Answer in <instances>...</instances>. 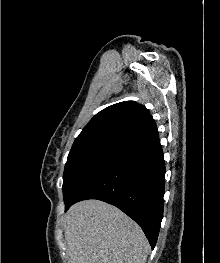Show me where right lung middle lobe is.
<instances>
[{
    "mask_svg": "<svg viewBox=\"0 0 220 263\" xmlns=\"http://www.w3.org/2000/svg\"><path fill=\"white\" fill-rule=\"evenodd\" d=\"M119 152L107 148L70 151L63 175L65 206L71 203L80 190Z\"/></svg>",
    "mask_w": 220,
    "mask_h": 263,
    "instance_id": "obj_1",
    "label": "right lung middle lobe"
}]
</instances>
